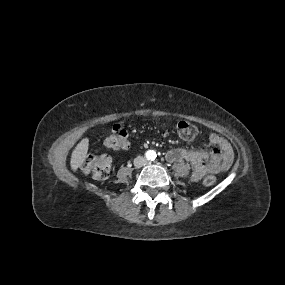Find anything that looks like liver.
Segmentation results:
<instances>
[{"instance_id": "6515ba94", "label": "liver", "mask_w": 285, "mask_h": 285, "mask_svg": "<svg viewBox=\"0 0 285 285\" xmlns=\"http://www.w3.org/2000/svg\"><path fill=\"white\" fill-rule=\"evenodd\" d=\"M89 140L88 138L82 139L75 147L71 155L70 166L75 172L85 161L88 152Z\"/></svg>"}]
</instances>
